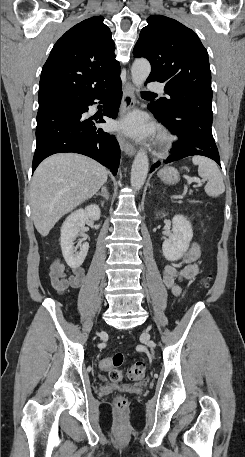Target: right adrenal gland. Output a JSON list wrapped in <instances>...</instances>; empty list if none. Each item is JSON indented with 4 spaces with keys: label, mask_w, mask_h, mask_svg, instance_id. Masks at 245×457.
<instances>
[{
    "label": "right adrenal gland",
    "mask_w": 245,
    "mask_h": 457,
    "mask_svg": "<svg viewBox=\"0 0 245 457\" xmlns=\"http://www.w3.org/2000/svg\"><path fill=\"white\" fill-rule=\"evenodd\" d=\"M98 194H100V196H104V198H106V200H108L109 192H108L107 186H102L101 192H97L96 196H98ZM102 206H103V204H102Z\"/></svg>",
    "instance_id": "1"
}]
</instances>
